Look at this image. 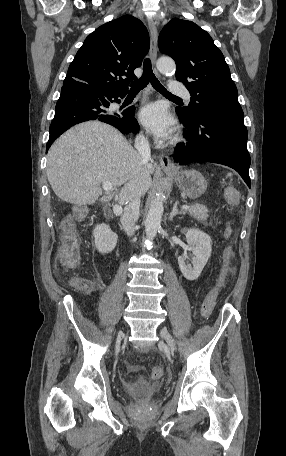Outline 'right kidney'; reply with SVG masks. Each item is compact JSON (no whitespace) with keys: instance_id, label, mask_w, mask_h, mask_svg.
Wrapping results in <instances>:
<instances>
[{"instance_id":"obj_1","label":"right kidney","mask_w":286,"mask_h":456,"mask_svg":"<svg viewBox=\"0 0 286 456\" xmlns=\"http://www.w3.org/2000/svg\"><path fill=\"white\" fill-rule=\"evenodd\" d=\"M93 236L95 246L102 254L109 253L116 247L118 236L107 224L95 226Z\"/></svg>"}]
</instances>
